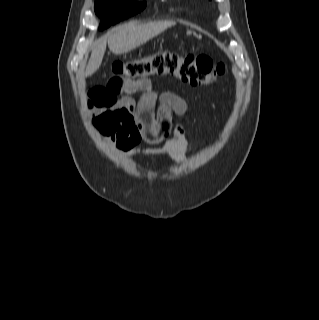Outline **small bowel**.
Instances as JSON below:
<instances>
[{"instance_id": "small-bowel-1", "label": "small bowel", "mask_w": 319, "mask_h": 320, "mask_svg": "<svg viewBox=\"0 0 319 320\" xmlns=\"http://www.w3.org/2000/svg\"><path fill=\"white\" fill-rule=\"evenodd\" d=\"M136 91L142 94L138 102L132 97ZM121 93V87L111 83L107 87H95L88 92L93 127L102 133L115 150L126 156L166 157L175 164H183L189 138L181 122L175 125L172 123L174 113H184L185 104L182 99L172 92L157 94L150 81L126 86L124 95L120 96ZM157 102L159 107L155 112ZM126 115L150 116L161 126L170 128L172 135L161 147L134 148L120 130V124Z\"/></svg>"}]
</instances>
